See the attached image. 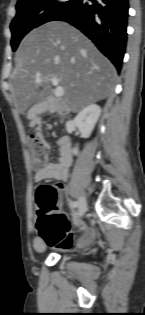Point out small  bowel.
I'll use <instances>...</instances> for the list:
<instances>
[{
	"instance_id": "small-bowel-1",
	"label": "small bowel",
	"mask_w": 145,
	"mask_h": 315,
	"mask_svg": "<svg viewBox=\"0 0 145 315\" xmlns=\"http://www.w3.org/2000/svg\"><path fill=\"white\" fill-rule=\"evenodd\" d=\"M33 125L35 127H39L40 121L38 119H34ZM57 144L60 153L58 160L47 163L41 169H36L33 175V181L35 183H40L46 180L65 181L68 178V170L72 162L70 142L66 138H61L58 140ZM61 204L62 199H60L58 210H61ZM33 247L36 251H44L46 243L40 236H37L33 240Z\"/></svg>"
}]
</instances>
